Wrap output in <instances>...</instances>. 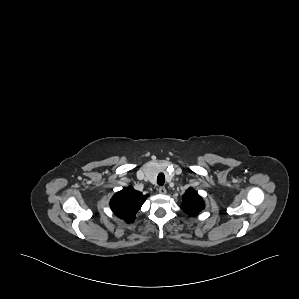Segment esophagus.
<instances>
[{
  "label": "esophagus",
  "mask_w": 299,
  "mask_h": 299,
  "mask_svg": "<svg viewBox=\"0 0 299 299\" xmlns=\"http://www.w3.org/2000/svg\"><path fill=\"white\" fill-rule=\"evenodd\" d=\"M158 192L160 193V194H166V188L165 187H159L158 188Z\"/></svg>",
  "instance_id": "34e87169"
}]
</instances>
